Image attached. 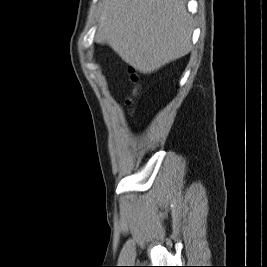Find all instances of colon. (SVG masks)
I'll list each match as a JSON object with an SVG mask.
<instances>
[{
	"instance_id": "5ec220e1",
	"label": "colon",
	"mask_w": 267,
	"mask_h": 267,
	"mask_svg": "<svg viewBox=\"0 0 267 267\" xmlns=\"http://www.w3.org/2000/svg\"><path fill=\"white\" fill-rule=\"evenodd\" d=\"M129 79H130V82L134 85L132 94L136 95L138 93V87L136 85L138 81V75L135 73L133 69L129 70Z\"/></svg>"
}]
</instances>
